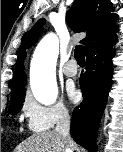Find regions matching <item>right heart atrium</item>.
I'll return each instance as SVG.
<instances>
[{"label":"right heart atrium","instance_id":"obj_1","mask_svg":"<svg viewBox=\"0 0 123 152\" xmlns=\"http://www.w3.org/2000/svg\"><path fill=\"white\" fill-rule=\"evenodd\" d=\"M23 112L28 128L33 132H45L70 118V110L63 103L46 106L30 97L24 102Z\"/></svg>","mask_w":123,"mask_h":152}]
</instances>
